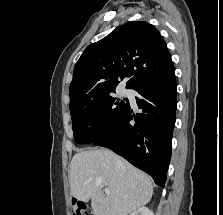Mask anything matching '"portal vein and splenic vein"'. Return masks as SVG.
<instances>
[{"instance_id":"1","label":"portal vein and splenic vein","mask_w":223,"mask_h":215,"mask_svg":"<svg viewBox=\"0 0 223 215\" xmlns=\"http://www.w3.org/2000/svg\"><path fill=\"white\" fill-rule=\"evenodd\" d=\"M104 191H105V193H107V195H109L110 191H109L108 187H105Z\"/></svg>"}]
</instances>
